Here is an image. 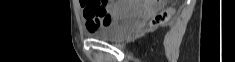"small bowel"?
<instances>
[{
	"instance_id": "obj_1",
	"label": "small bowel",
	"mask_w": 235,
	"mask_h": 62,
	"mask_svg": "<svg viewBox=\"0 0 235 62\" xmlns=\"http://www.w3.org/2000/svg\"><path fill=\"white\" fill-rule=\"evenodd\" d=\"M106 5H107V9L110 12L115 13L116 11L120 10L125 5V2L122 1V2L114 3L113 1H107ZM81 6L84 9V17L86 19V27L88 31L95 30L105 24L104 21L98 20L96 17L88 16L86 14V6L83 4V1L81 2ZM108 17L109 19H111V14L109 12H108Z\"/></svg>"
}]
</instances>
